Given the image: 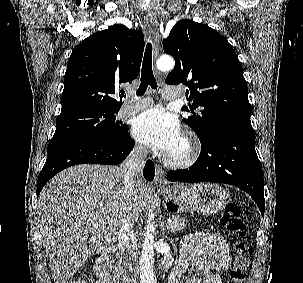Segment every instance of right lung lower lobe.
Returning <instances> with one entry per match:
<instances>
[{
  "label": "right lung lower lobe",
  "mask_w": 303,
  "mask_h": 283,
  "mask_svg": "<svg viewBox=\"0 0 303 283\" xmlns=\"http://www.w3.org/2000/svg\"><path fill=\"white\" fill-rule=\"evenodd\" d=\"M134 147V141L126 133L117 139H98L85 136L52 138L47 150V159L38 177L37 197L43 186L58 172L70 166L84 163L117 165ZM144 177L152 181L154 163L145 164Z\"/></svg>",
  "instance_id": "obj_1"
}]
</instances>
